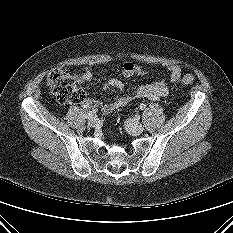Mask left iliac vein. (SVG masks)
<instances>
[{
    "label": "left iliac vein",
    "mask_w": 233,
    "mask_h": 233,
    "mask_svg": "<svg viewBox=\"0 0 233 233\" xmlns=\"http://www.w3.org/2000/svg\"><path fill=\"white\" fill-rule=\"evenodd\" d=\"M125 127L127 131L132 135H139L143 132V125L133 119H127L125 121Z\"/></svg>",
    "instance_id": "left-iliac-vein-1"
}]
</instances>
